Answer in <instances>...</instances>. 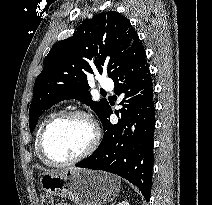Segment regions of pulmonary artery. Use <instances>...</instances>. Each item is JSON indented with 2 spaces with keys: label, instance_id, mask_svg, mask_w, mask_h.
Segmentation results:
<instances>
[{
  "label": "pulmonary artery",
  "instance_id": "obj_1",
  "mask_svg": "<svg viewBox=\"0 0 212 205\" xmlns=\"http://www.w3.org/2000/svg\"><path fill=\"white\" fill-rule=\"evenodd\" d=\"M100 86L104 90H112L114 87V84H113L112 80L104 78L101 80Z\"/></svg>",
  "mask_w": 212,
  "mask_h": 205
}]
</instances>
